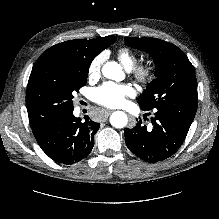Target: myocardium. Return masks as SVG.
Segmentation results:
<instances>
[{"mask_svg": "<svg viewBox=\"0 0 219 219\" xmlns=\"http://www.w3.org/2000/svg\"><path fill=\"white\" fill-rule=\"evenodd\" d=\"M131 73L137 82L148 84L155 76V69L150 63H144L134 66Z\"/></svg>", "mask_w": 219, "mask_h": 219, "instance_id": "obj_1", "label": "myocardium"}]
</instances>
